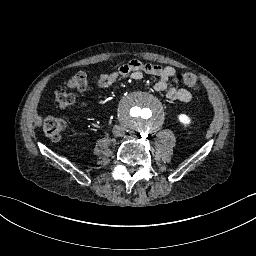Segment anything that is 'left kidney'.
<instances>
[{
	"label": "left kidney",
	"mask_w": 256,
	"mask_h": 256,
	"mask_svg": "<svg viewBox=\"0 0 256 256\" xmlns=\"http://www.w3.org/2000/svg\"><path fill=\"white\" fill-rule=\"evenodd\" d=\"M178 122L187 127V126H190L192 124V118L190 116H188L187 114L185 113H181L178 115Z\"/></svg>",
	"instance_id": "1"
}]
</instances>
